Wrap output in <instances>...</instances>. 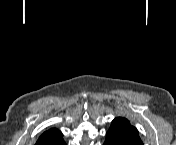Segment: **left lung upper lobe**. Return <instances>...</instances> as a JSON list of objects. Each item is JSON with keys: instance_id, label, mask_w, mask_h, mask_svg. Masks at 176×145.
<instances>
[{"instance_id": "left-lung-upper-lobe-1", "label": "left lung upper lobe", "mask_w": 176, "mask_h": 145, "mask_svg": "<svg viewBox=\"0 0 176 145\" xmlns=\"http://www.w3.org/2000/svg\"><path fill=\"white\" fill-rule=\"evenodd\" d=\"M107 134L119 139L124 145H143L137 129L124 117L115 118Z\"/></svg>"}]
</instances>
